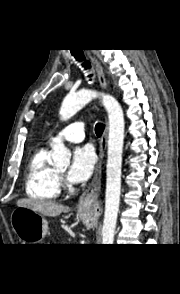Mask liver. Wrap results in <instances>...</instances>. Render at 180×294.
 <instances>
[{"instance_id": "1", "label": "liver", "mask_w": 180, "mask_h": 294, "mask_svg": "<svg viewBox=\"0 0 180 294\" xmlns=\"http://www.w3.org/2000/svg\"><path fill=\"white\" fill-rule=\"evenodd\" d=\"M18 207H26L35 212L40 213L43 216L56 217L63 212L70 211L68 206L52 202V201H43L36 199H19L17 201Z\"/></svg>"}]
</instances>
